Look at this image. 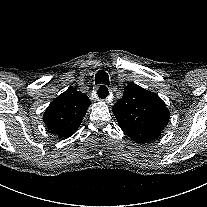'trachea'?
I'll return each instance as SVG.
<instances>
[{"instance_id":"1","label":"trachea","mask_w":207,"mask_h":207,"mask_svg":"<svg viewBox=\"0 0 207 207\" xmlns=\"http://www.w3.org/2000/svg\"><path fill=\"white\" fill-rule=\"evenodd\" d=\"M95 84H101L98 89V96L103 99L109 94L107 85H109V76L104 70H99L95 75Z\"/></svg>"}]
</instances>
